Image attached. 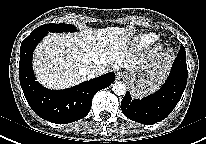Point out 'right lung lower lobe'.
<instances>
[{
    "instance_id": "right-lung-lower-lobe-1",
    "label": "right lung lower lobe",
    "mask_w": 206,
    "mask_h": 144,
    "mask_svg": "<svg viewBox=\"0 0 206 144\" xmlns=\"http://www.w3.org/2000/svg\"><path fill=\"white\" fill-rule=\"evenodd\" d=\"M32 32L20 48L19 78L25 98L41 118L56 124H67L87 116L93 96L115 81L113 72L65 90H49L41 86L33 74L32 55L36 45L47 35Z\"/></svg>"
}]
</instances>
